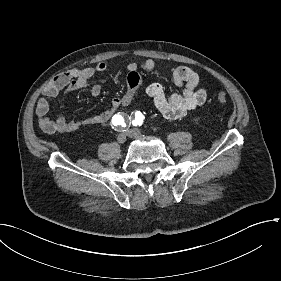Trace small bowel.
Wrapping results in <instances>:
<instances>
[{
	"instance_id": "1",
	"label": "small bowel",
	"mask_w": 281,
	"mask_h": 281,
	"mask_svg": "<svg viewBox=\"0 0 281 281\" xmlns=\"http://www.w3.org/2000/svg\"><path fill=\"white\" fill-rule=\"evenodd\" d=\"M139 67L146 72H152L156 69V62L152 59H146L140 66L136 62L128 63L125 93L121 97L113 98L108 109L78 120L67 119L63 115L50 118L48 116L50 110L48 98L65 97L84 88H89L92 96H99L102 90L101 86L99 84L90 85V79L97 73L105 72L108 65L105 62H98L94 67L78 68L59 74L44 88L43 97L37 102L36 115L39 127L44 132L53 134L73 132L84 126L108 122L119 109L131 104L141 84L138 74ZM173 80L180 87V92L167 96L160 85L151 84L146 88V94L164 118L175 120L186 116L188 112L201 106L206 101L207 92L199 86L198 74L189 67L181 66L174 69Z\"/></svg>"
}]
</instances>
